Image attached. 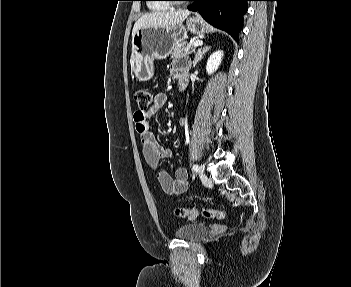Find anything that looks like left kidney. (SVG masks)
Returning <instances> with one entry per match:
<instances>
[{
  "label": "left kidney",
  "instance_id": "obj_1",
  "mask_svg": "<svg viewBox=\"0 0 351 287\" xmlns=\"http://www.w3.org/2000/svg\"><path fill=\"white\" fill-rule=\"evenodd\" d=\"M223 51L218 50L210 55V57L207 60V65H206V71L208 75L213 74L221 64L222 58H223Z\"/></svg>",
  "mask_w": 351,
  "mask_h": 287
}]
</instances>
